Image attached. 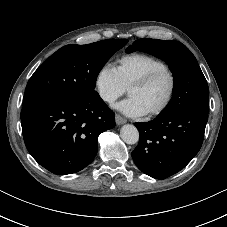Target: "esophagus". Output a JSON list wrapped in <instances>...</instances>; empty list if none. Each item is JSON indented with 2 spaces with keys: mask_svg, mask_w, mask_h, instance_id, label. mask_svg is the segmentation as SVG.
<instances>
[{
  "mask_svg": "<svg viewBox=\"0 0 227 227\" xmlns=\"http://www.w3.org/2000/svg\"><path fill=\"white\" fill-rule=\"evenodd\" d=\"M115 122H116L117 125H122V124L126 123L127 121L122 116L116 114L115 115Z\"/></svg>",
  "mask_w": 227,
  "mask_h": 227,
  "instance_id": "esophagus-1",
  "label": "esophagus"
}]
</instances>
